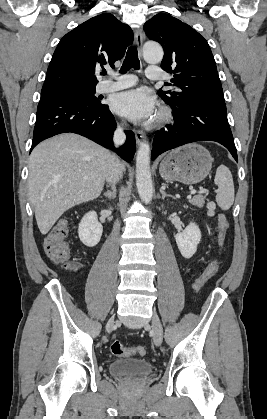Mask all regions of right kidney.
I'll use <instances>...</instances> for the list:
<instances>
[{"label":"right kidney","mask_w":267,"mask_h":419,"mask_svg":"<svg viewBox=\"0 0 267 419\" xmlns=\"http://www.w3.org/2000/svg\"><path fill=\"white\" fill-rule=\"evenodd\" d=\"M103 227L98 221L97 213L90 211L85 214L79 223L78 235L81 242L87 247H94L101 239Z\"/></svg>","instance_id":"right-kidney-1"}]
</instances>
